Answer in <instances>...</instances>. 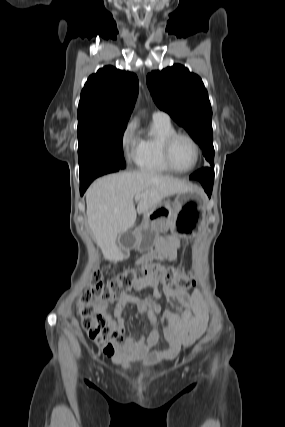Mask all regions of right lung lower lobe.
<instances>
[{"mask_svg": "<svg viewBox=\"0 0 285 427\" xmlns=\"http://www.w3.org/2000/svg\"><path fill=\"white\" fill-rule=\"evenodd\" d=\"M119 167H103V168H98L95 169L94 171L80 177V194L83 195L84 192L86 191L87 187L90 185V183L97 177L104 175V174H108V173H112V172H116L118 171Z\"/></svg>", "mask_w": 285, "mask_h": 427, "instance_id": "98d812e1", "label": "right lung lower lobe"}]
</instances>
